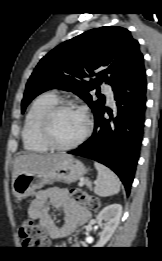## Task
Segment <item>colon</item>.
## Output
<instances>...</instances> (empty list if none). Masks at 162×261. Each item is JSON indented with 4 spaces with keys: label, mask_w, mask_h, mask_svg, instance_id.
<instances>
[{
    "label": "colon",
    "mask_w": 162,
    "mask_h": 261,
    "mask_svg": "<svg viewBox=\"0 0 162 261\" xmlns=\"http://www.w3.org/2000/svg\"><path fill=\"white\" fill-rule=\"evenodd\" d=\"M73 199L90 210H97L100 201L97 197L87 194L83 190H75ZM22 245L26 248H42L47 245V236L43 229L32 219L25 220L19 229Z\"/></svg>",
    "instance_id": "obj_1"
}]
</instances>
